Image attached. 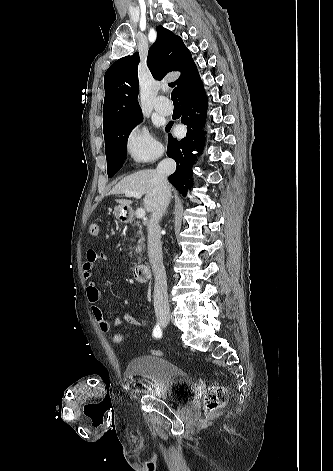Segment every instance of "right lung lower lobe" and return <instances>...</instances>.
Returning <instances> with one entry per match:
<instances>
[{"instance_id":"98d812e1","label":"right lung lower lobe","mask_w":333,"mask_h":471,"mask_svg":"<svg viewBox=\"0 0 333 471\" xmlns=\"http://www.w3.org/2000/svg\"><path fill=\"white\" fill-rule=\"evenodd\" d=\"M179 101L182 109L181 122L187 125V134L182 140L173 138L171 134L168 135L167 155L177 164L176 171L169 176V181L183 196H186L187 190L192 186L191 166L195 161L192 151L196 149L200 153L205 143L203 133L206 132H203L201 128L207 111V97L199 75L179 96ZM196 112H200L201 117L198 119ZM171 126V123L167 125V132Z\"/></svg>"}]
</instances>
